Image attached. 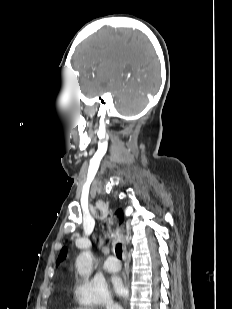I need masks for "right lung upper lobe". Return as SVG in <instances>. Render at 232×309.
<instances>
[{
  "label": "right lung upper lobe",
  "mask_w": 232,
  "mask_h": 309,
  "mask_svg": "<svg viewBox=\"0 0 232 309\" xmlns=\"http://www.w3.org/2000/svg\"><path fill=\"white\" fill-rule=\"evenodd\" d=\"M117 213H118V215L121 217V220H122V211H121V210H118ZM66 254H67V249L64 247V248L61 250L60 255H59L58 259H57V265H58L61 261H63V260L65 259Z\"/></svg>",
  "instance_id": "obj_1"
}]
</instances>
